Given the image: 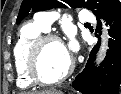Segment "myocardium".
Wrapping results in <instances>:
<instances>
[{
  "instance_id": "f54148a6",
  "label": "myocardium",
  "mask_w": 121,
  "mask_h": 94,
  "mask_svg": "<svg viewBox=\"0 0 121 94\" xmlns=\"http://www.w3.org/2000/svg\"><path fill=\"white\" fill-rule=\"evenodd\" d=\"M49 41H57L62 43V39L56 34L53 33L41 34L40 36L35 38L29 45L25 59V68L30 80L34 84L44 87L55 86L62 83L72 74L75 67L74 59L71 57L68 67L58 78L54 80H45L40 74L38 68V60L43 45Z\"/></svg>"
}]
</instances>
